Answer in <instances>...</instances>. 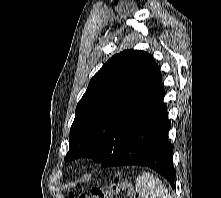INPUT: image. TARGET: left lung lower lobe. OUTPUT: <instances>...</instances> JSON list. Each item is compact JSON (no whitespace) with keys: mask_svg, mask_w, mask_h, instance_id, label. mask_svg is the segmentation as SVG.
I'll use <instances>...</instances> for the list:
<instances>
[{"mask_svg":"<svg viewBox=\"0 0 221 198\" xmlns=\"http://www.w3.org/2000/svg\"><path fill=\"white\" fill-rule=\"evenodd\" d=\"M164 98V97H163ZM163 98L151 115L124 141L120 149L101 163L102 167L119 165L147 166L163 175L174 188L173 146L168 141L170 122Z\"/></svg>","mask_w":221,"mask_h":198,"instance_id":"0a47b994","label":"left lung lower lobe"}]
</instances>
